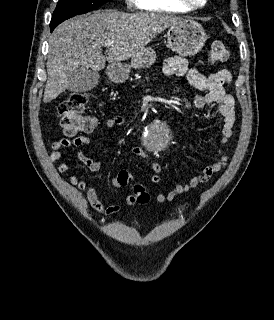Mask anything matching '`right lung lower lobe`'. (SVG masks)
Returning a JSON list of instances; mask_svg holds the SVG:
<instances>
[{
    "instance_id": "obj_1",
    "label": "right lung lower lobe",
    "mask_w": 274,
    "mask_h": 320,
    "mask_svg": "<svg viewBox=\"0 0 274 320\" xmlns=\"http://www.w3.org/2000/svg\"><path fill=\"white\" fill-rule=\"evenodd\" d=\"M55 27H56V26H50L51 32L54 30Z\"/></svg>"
}]
</instances>
